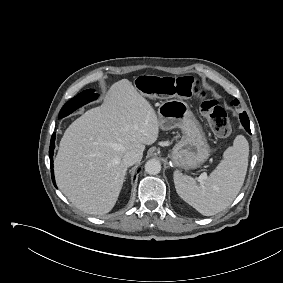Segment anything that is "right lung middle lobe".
<instances>
[{
	"mask_svg": "<svg viewBox=\"0 0 283 283\" xmlns=\"http://www.w3.org/2000/svg\"><path fill=\"white\" fill-rule=\"evenodd\" d=\"M97 94L94 93L93 89H88L77 96H75L73 99L68 101L63 108L61 109L59 113V118H63L70 113H72L74 110L78 109L79 107L83 106L84 104L96 99Z\"/></svg>",
	"mask_w": 283,
	"mask_h": 283,
	"instance_id": "dd1d6c3e",
	"label": "right lung middle lobe"
}]
</instances>
